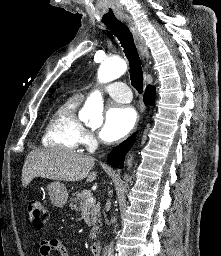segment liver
<instances>
[{
    "mask_svg": "<svg viewBox=\"0 0 221 256\" xmlns=\"http://www.w3.org/2000/svg\"><path fill=\"white\" fill-rule=\"evenodd\" d=\"M95 159L62 149H36L31 151L23 165L22 185L26 188L36 177L60 181L87 182L96 179L97 173L91 172Z\"/></svg>",
    "mask_w": 221,
    "mask_h": 256,
    "instance_id": "6515ba94",
    "label": "liver"
}]
</instances>
